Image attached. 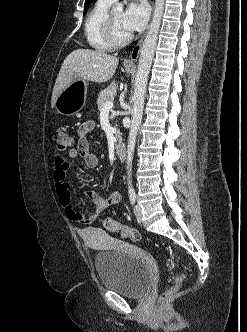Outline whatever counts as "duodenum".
<instances>
[{
  "label": "duodenum",
  "instance_id": "410a0bca",
  "mask_svg": "<svg viewBox=\"0 0 247 332\" xmlns=\"http://www.w3.org/2000/svg\"><path fill=\"white\" fill-rule=\"evenodd\" d=\"M116 154L120 160H124L126 157V146L124 143H119L116 146Z\"/></svg>",
  "mask_w": 247,
  "mask_h": 332
}]
</instances>
